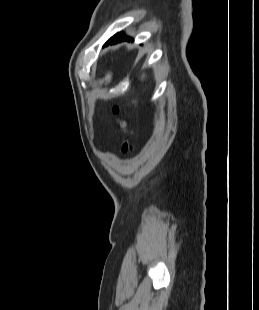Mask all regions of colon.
Listing matches in <instances>:
<instances>
[{
	"mask_svg": "<svg viewBox=\"0 0 259 310\" xmlns=\"http://www.w3.org/2000/svg\"><path fill=\"white\" fill-rule=\"evenodd\" d=\"M118 112H119L118 109L115 108L114 109V113L118 114ZM117 125L120 127V129L122 130V132L125 135V138H124V140L122 141V144H121V151L123 153H128L131 150V144H130L129 139H128L129 131H128V128H127V123L124 120H122V119H118L117 120Z\"/></svg>",
	"mask_w": 259,
	"mask_h": 310,
	"instance_id": "obj_1",
	"label": "colon"
}]
</instances>
